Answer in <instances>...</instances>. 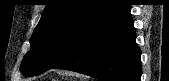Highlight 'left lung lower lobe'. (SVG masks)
Returning a JSON list of instances; mask_svg holds the SVG:
<instances>
[{"label": "left lung lower lobe", "instance_id": "obj_1", "mask_svg": "<svg viewBox=\"0 0 169 81\" xmlns=\"http://www.w3.org/2000/svg\"><path fill=\"white\" fill-rule=\"evenodd\" d=\"M130 3L117 0L86 26L51 69L79 72L101 81H140L141 51Z\"/></svg>", "mask_w": 169, "mask_h": 81}]
</instances>
